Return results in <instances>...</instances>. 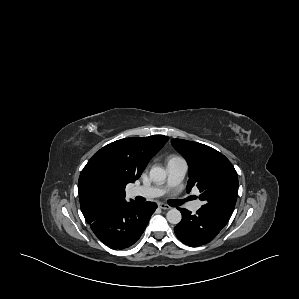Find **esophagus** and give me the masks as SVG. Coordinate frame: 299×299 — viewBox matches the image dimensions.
Segmentation results:
<instances>
[{"instance_id":"esophagus-1","label":"esophagus","mask_w":299,"mask_h":299,"mask_svg":"<svg viewBox=\"0 0 299 299\" xmlns=\"http://www.w3.org/2000/svg\"><path fill=\"white\" fill-rule=\"evenodd\" d=\"M158 207L161 208V209H163V210H169V209H171V207L169 205L165 204V203H159Z\"/></svg>"}]
</instances>
